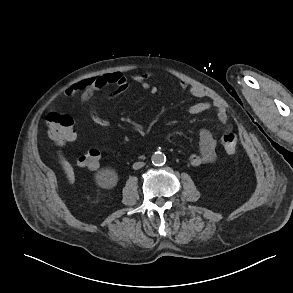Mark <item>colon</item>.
Wrapping results in <instances>:
<instances>
[{
	"mask_svg": "<svg viewBox=\"0 0 293 293\" xmlns=\"http://www.w3.org/2000/svg\"><path fill=\"white\" fill-rule=\"evenodd\" d=\"M48 134L52 140L63 144L75 139L74 120L67 114L57 111L50 112L46 117ZM221 143L228 154H233L237 148V137L233 132L222 135ZM101 152L97 148L87 150L78 158V164L89 169H96L100 164Z\"/></svg>",
	"mask_w": 293,
	"mask_h": 293,
	"instance_id": "obj_1",
	"label": "colon"
}]
</instances>
